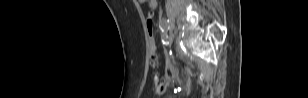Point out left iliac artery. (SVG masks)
<instances>
[{
  "label": "left iliac artery",
  "mask_w": 308,
  "mask_h": 98,
  "mask_svg": "<svg viewBox=\"0 0 308 98\" xmlns=\"http://www.w3.org/2000/svg\"><path fill=\"white\" fill-rule=\"evenodd\" d=\"M168 20L163 18L160 20V29L163 31L168 28Z\"/></svg>",
  "instance_id": "1"
}]
</instances>
